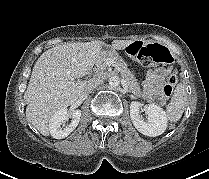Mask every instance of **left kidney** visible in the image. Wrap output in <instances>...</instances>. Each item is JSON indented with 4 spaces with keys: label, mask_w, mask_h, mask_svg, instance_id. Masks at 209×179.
Wrapping results in <instances>:
<instances>
[{
    "label": "left kidney",
    "mask_w": 209,
    "mask_h": 179,
    "mask_svg": "<svg viewBox=\"0 0 209 179\" xmlns=\"http://www.w3.org/2000/svg\"><path fill=\"white\" fill-rule=\"evenodd\" d=\"M142 104L133 101L130 104V117L135 128L142 134L149 137H156L165 132L167 128V117L165 111L154 104H149L146 108L147 121L140 115Z\"/></svg>",
    "instance_id": "1"
}]
</instances>
